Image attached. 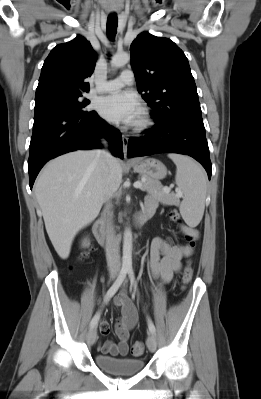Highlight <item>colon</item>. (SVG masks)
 I'll use <instances>...</instances> for the list:
<instances>
[{
  "label": "colon",
  "instance_id": "1",
  "mask_svg": "<svg viewBox=\"0 0 261 399\" xmlns=\"http://www.w3.org/2000/svg\"><path fill=\"white\" fill-rule=\"evenodd\" d=\"M169 216H170V218H171L172 220H174V221H179V220H180L179 214H178L176 211H174V210H172V211L169 212ZM186 239H187V241L189 242V245H190L191 247H193V246L195 245V238H194L193 235L187 234V235H186ZM88 255H89V252L86 251V252L83 253L82 257H83V258H87ZM192 276H193V270H192V268H191L190 266H186L185 269H184V272H183V276H182L183 284H184V285L189 284L190 281H191V279H192ZM144 349H145V348H144L143 342H141V341H136V342H134V343L132 344V346H131V354H132L133 356H140V355L143 354Z\"/></svg>",
  "mask_w": 261,
  "mask_h": 399
}]
</instances>
